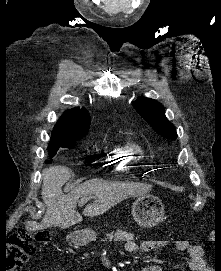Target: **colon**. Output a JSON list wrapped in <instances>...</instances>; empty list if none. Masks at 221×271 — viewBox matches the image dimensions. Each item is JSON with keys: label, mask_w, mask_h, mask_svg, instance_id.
Here are the masks:
<instances>
[{"label": "colon", "mask_w": 221, "mask_h": 271, "mask_svg": "<svg viewBox=\"0 0 221 271\" xmlns=\"http://www.w3.org/2000/svg\"><path fill=\"white\" fill-rule=\"evenodd\" d=\"M53 233L48 230L20 229L9 237L6 262L9 271H16L36 251V242L51 240Z\"/></svg>", "instance_id": "colon-1"}]
</instances>
